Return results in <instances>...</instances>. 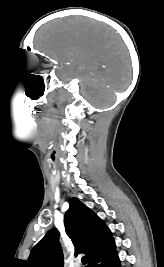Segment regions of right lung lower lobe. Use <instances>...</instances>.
Here are the masks:
<instances>
[{
    "label": "right lung lower lobe",
    "instance_id": "98d812e1",
    "mask_svg": "<svg viewBox=\"0 0 164 267\" xmlns=\"http://www.w3.org/2000/svg\"><path fill=\"white\" fill-rule=\"evenodd\" d=\"M88 267H120L115 248L93 259Z\"/></svg>",
    "mask_w": 164,
    "mask_h": 267
}]
</instances>
